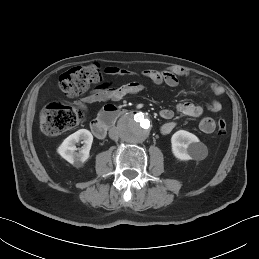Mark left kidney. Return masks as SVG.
Wrapping results in <instances>:
<instances>
[{"label":"left kidney","instance_id":"1","mask_svg":"<svg viewBox=\"0 0 259 259\" xmlns=\"http://www.w3.org/2000/svg\"><path fill=\"white\" fill-rule=\"evenodd\" d=\"M171 146L173 155L179 160L186 161L196 158L199 149L204 145L196 135L179 130L172 135Z\"/></svg>","mask_w":259,"mask_h":259}]
</instances>
